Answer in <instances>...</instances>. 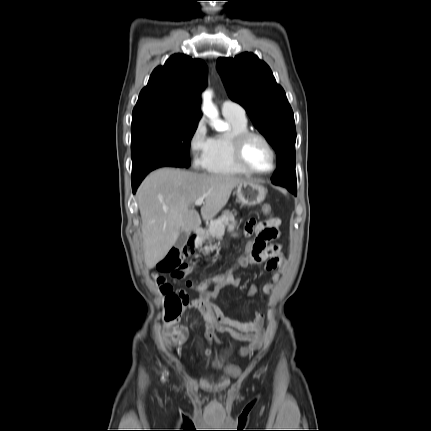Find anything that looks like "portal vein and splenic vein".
Instances as JSON below:
<instances>
[{"mask_svg":"<svg viewBox=\"0 0 431 431\" xmlns=\"http://www.w3.org/2000/svg\"><path fill=\"white\" fill-rule=\"evenodd\" d=\"M203 203H204V198H203V197L198 198V199L195 201V206H201Z\"/></svg>","mask_w":431,"mask_h":431,"instance_id":"obj_1","label":"portal vein and splenic vein"}]
</instances>
